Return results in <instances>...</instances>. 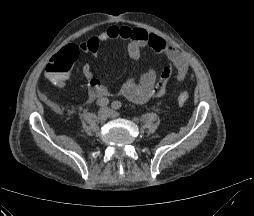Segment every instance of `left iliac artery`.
I'll use <instances>...</instances> for the list:
<instances>
[{
    "mask_svg": "<svg viewBox=\"0 0 254 216\" xmlns=\"http://www.w3.org/2000/svg\"><path fill=\"white\" fill-rule=\"evenodd\" d=\"M111 107L115 110H118L122 107V104L119 101H114V102H112Z\"/></svg>",
    "mask_w": 254,
    "mask_h": 216,
    "instance_id": "obj_1",
    "label": "left iliac artery"
}]
</instances>
